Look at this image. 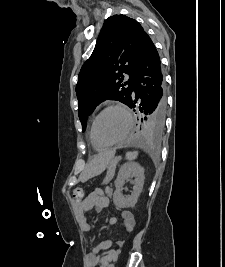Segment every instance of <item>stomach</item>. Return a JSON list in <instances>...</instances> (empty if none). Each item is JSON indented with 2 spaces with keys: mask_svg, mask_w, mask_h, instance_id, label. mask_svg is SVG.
Segmentation results:
<instances>
[{
  "mask_svg": "<svg viewBox=\"0 0 225 267\" xmlns=\"http://www.w3.org/2000/svg\"><path fill=\"white\" fill-rule=\"evenodd\" d=\"M111 160H113L112 153H102L96 156L89 165V176L92 177L102 173Z\"/></svg>",
  "mask_w": 225,
  "mask_h": 267,
  "instance_id": "obj_1",
  "label": "stomach"
}]
</instances>
